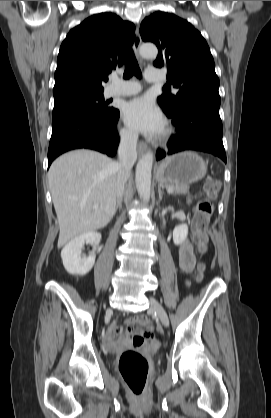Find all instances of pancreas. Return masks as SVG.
I'll return each mask as SVG.
<instances>
[{"label":"pancreas","instance_id":"1","mask_svg":"<svg viewBox=\"0 0 271 418\" xmlns=\"http://www.w3.org/2000/svg\"><path fill=\"white\" fill-rule=\"evenodd\" d=\"M167 188L173 189V194H187L189 193V185L182 184V185H174L168 184L166 185Z\"/></svg>","mask_w":271,"mask_h":418}]
</instances>
